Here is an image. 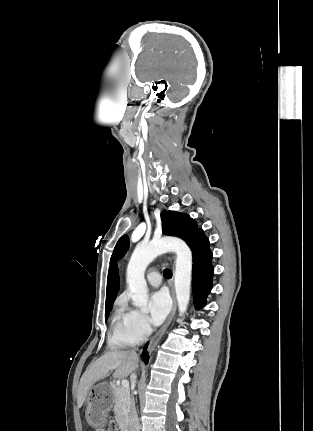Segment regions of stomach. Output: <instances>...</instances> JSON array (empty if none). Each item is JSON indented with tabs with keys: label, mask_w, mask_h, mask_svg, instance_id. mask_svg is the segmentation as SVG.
I'll use <instances>...</instances> for the list:
<instances>
[{
	"label": "stomach",
	"mask_w": 313,
	"mask_h": 431,
	"mask_svg": "<svg viewBox=\"0 0 313 431\" xmlns=\"http://www.w3.org/2000/svg\"><path fill=\"white\" fill-rule=\"evenodd\" d=\"M114 386L106 382L92 386L87 397L86 419L93 427L107 423L113 406Z\"/></svg>",
	"instance_id": "stomach-1"
}]
</instances>
